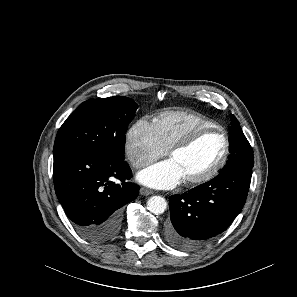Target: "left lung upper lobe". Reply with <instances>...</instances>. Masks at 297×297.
<instances>
[{"mask_svg":"<svg viewBox=\"0 0 297 297\" xmlns=\"http://www.w3.org/2000/svg\"><path fill=\"white\" fill-rule=\"evenodd\" d=\"M230 144L231 153L226 165L222 168L221 172H243L252 170L254 166L253 150L234 115H232Z\"/></svg>","mask_w":297,"mask_h":297,"instance_id":"obj_1","label":"left lung upper lobe"}]
</instances>
